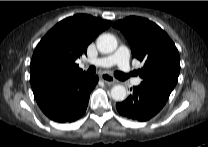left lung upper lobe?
Wrapping results in <instances>:
<instances>
[{
	"label": "left lung upper lobe",
	"mask_w": 208,
	"mask_h": 147,
	"mask_svg": "<svg viewBox=\"0 0 208 147\" xmlns=\"http://www.w3.org/2000/svg\"><path fill=\"white\" fill-rule=\"evenodd\" d=\"M127 38L132 57L143 63L141 84L171 93L180 71L178 50L170 37L148 19L130 16L113 24Z\"/></svg>",
	"instance_id": "left-lung-upper-lobe-1"
}]
</instances>
